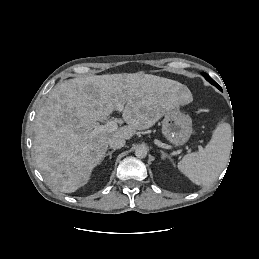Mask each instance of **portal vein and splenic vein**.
Segmentation results:
<instances>
[{"mask_svg":"<svg viewBox=\"0 0 259 259\" xmlns=\"http://www.w3.org/2000/svg\"><path fill=\"white\" fill-rule=\"evenodd\" d=\"M116 109L118 112L123 111L124 109V104L123 103H118L116 105ZM118 129L117 125V120L113 119L107 122L105 125H97L94 129V133H99V132H114Z\"/></svg>","mask_w":259,"mask_h":259,"instance_id":"portal-vein-and-splenic-vein-1","label":"portal vein and splenic vein"}]
</instances>
